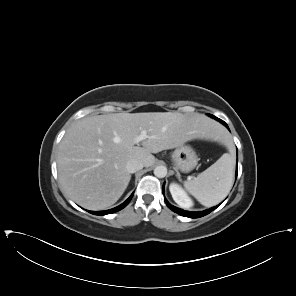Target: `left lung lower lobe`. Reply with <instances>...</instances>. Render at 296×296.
<instances>
[{
  "mask_svg": "<svg viewBox=\"0 0 296 296\" xmlns=\"http://www.w3.org/2000/svg\"><path fill=\"white\" fill-rule=\"evenodd\" d=\"M220 122H222L228 128V126L225 122H223L222 120H220ZM236 175H237V173H236ZM163 193H164V189H163ZM164 200H165L167 206L171 210H173L174 212H176L182 216L190 217V218H199V217L205 216V215L209 214L210 212H212L216 208V207H212V208L205 210L203 212H189V211H184L180 208H177V207L171 205L170 203H168V201L166 199H164Z\"/></svg>",
  "mask_w": 296,
  "mask_h": 296,
  "instance_id": "obj_1",
  "label": "left lung lower lobe"
}]
</instances>
